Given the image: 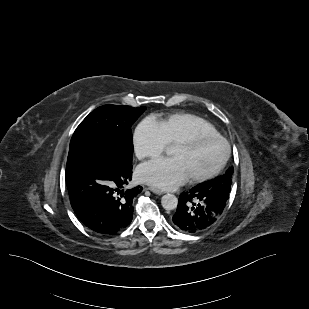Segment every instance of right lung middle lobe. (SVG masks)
I'll use <instances>...</instances> for the list:
<instances>
[{"mask_svg":"<svg viewBox=\"0 0 309 309\" xmlns=\"http://www.w3.org/2000/svg\"><path fill=\"white\" fill-rule=\"evenodd\" d=\"M146 107L103 105L92 111L77 127L70 149L96 144L112 150L119 158L132 160L131 126Z\"/></svg>","mask_w":309,"mask_h":309,"instance_id":"right-lung-middle-lobe-1","label":"right lung middle lobe"}]
</instances>
